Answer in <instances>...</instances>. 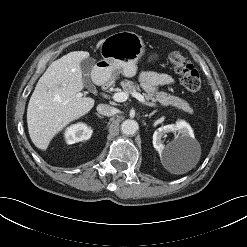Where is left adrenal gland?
<instances>
[{
	"instance_id": "obj_1",
	"label": "left adrenal gland",
	"mask_w": 247,
	"mask_h": 247,
	"mask_svg": "<svg viewBox=\"0 0 247 247\" xmlns=\"http://www.w3.org/2000/svg\"><path fill=\"white\" fill-rule=\"evenodd\" d=\"M157 112V110L153 111L152 113L149 114V118H151V116H153L155 113Z\"/></svg>"
}]
</instances>
